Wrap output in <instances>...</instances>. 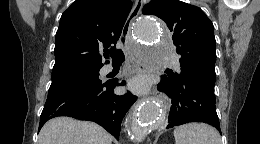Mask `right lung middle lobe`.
Here are the masks:
<instances>
[{
  "label": "right lung middle lobe",
  "instance_id": "1",
  "mask_svg": "<svg viewBox=\"0 0 260 144\" xmlns=\"http://www.w3.org/2000/svg\"><path fill=\"white\" fill-rule=\"evenodd\" d=\"M100 68L101 67L78 66L52 71V83L50 88L69 83H100Z\"/></svg>",
  "mask_w": 260,
  "mask_h": 144
}]
</instances>
